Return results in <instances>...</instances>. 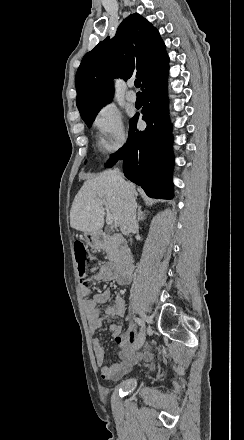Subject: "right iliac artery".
<instances>
[{"label":"right iliac artery","mask_w":244,"mask_h":440,"mask_svg":"<svg viewBox=\"0 0 244 440\" xmlns=\"http://www.w3.org/2000/svg\"><path fill=\"white\" fill-rule=\"evenodd\" d=\"M135 322L138 323L142 328L145 326L144 322L140 319L135 317L134 318Z\"/></svg>","instance_id":"obj_1"}]
</instances>
